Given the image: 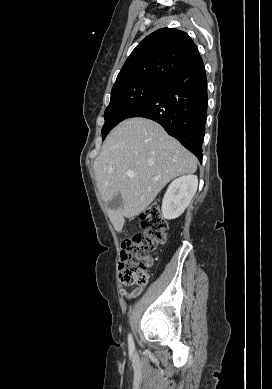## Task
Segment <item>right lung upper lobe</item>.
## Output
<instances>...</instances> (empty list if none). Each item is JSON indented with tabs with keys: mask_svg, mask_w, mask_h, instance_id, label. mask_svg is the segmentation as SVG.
<instances>
[{
	"mask_svg": "<svg viewBox=\"0 0 272 389\" xmlns=\"http://www.w3.org/2000/svg\"><path fill=\"white\" fill-rule=\"evenodd\" d=\"M202 64L197 46L188 34L162 28L144 38L132 51L113 88L141 80L167 84Z\"/></svg>",
	"mask_w": 272,
	"mask_h": 389,
	"instance_id": "obj_1",
	"label": "right lung upper lobe"
}]
</instances>
